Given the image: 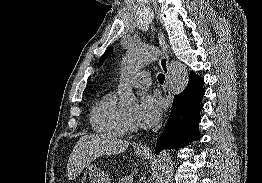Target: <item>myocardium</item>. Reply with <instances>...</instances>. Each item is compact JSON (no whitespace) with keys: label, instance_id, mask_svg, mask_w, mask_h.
Returning a JSON list of instances; mask_svg holds the SVG:
<instances>
[{"label":"myocardium","instance_id":"obj_1","mask_svg":"<svg viewBox=\"0 0 262 183\" xmlns=\"http://www.w3.org/2000/svg\"><path fill=\"white\" fill-rule=\"evenodd\" d=\"M125 120H126L128 130H130L131 132L139 131L136 123L133 120H131L127 115H125Z\"/></svg>","mask_w":262,"mask_h":183}]
</instances>
